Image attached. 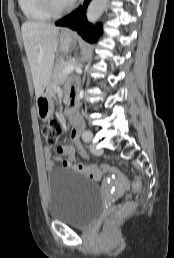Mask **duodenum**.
<instances>
[{"label": "duodenum", "mask_w": 174, "mask_h": 258, "mask_svg": "<svg viewBox=\"0 0 174 258\" xmlns=\"http://www.w3.org/2000/svg\"><path fill=\"white\" fill-rule=\"evenodd\" d=\"M77 106V99L74 94H70V97L68 98L66 102V107H65V114L69 117L72 118L74 116V112Z\"/></svg>", "instance_id": "410a0bca"}]
</instances>
